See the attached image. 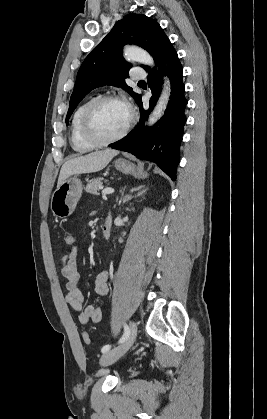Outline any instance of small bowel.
Listing matches in <instances>:
<instances>
[{
	"mask_svg": "<svg viewBox=\"0 0 267 419\" xmlns=\"http://www.w3.org/2000/svg\"><path fill=\"white\" fill-rule=\"evenodd\" d=\"M78 249L74 244L68 248L61 257L58 268L66 279L65 301L69 307L79 312L78 320L81 324L99 323L103 318L100 308L88 305L84 307V296L79 288L80 273L78 269ZM109 272H100L95 279V291L98 295L105 296L108 293Z\"/></svg>",
	"mask_w": 267,
	"mask_h": 419,
	"instance_id": "c3829d8e",
	"label": "small bowel"
}]
</instances>
